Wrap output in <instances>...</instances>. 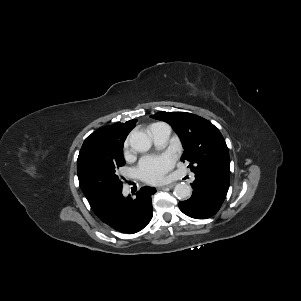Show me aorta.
<instances>
[{"label": "aorta", "mask_w": 301, "mask_h": 301, "mask_svg": "<svg viewBox=\"0 0 301 301\" xmlns=\"http://www.w3.org/2000/svg\"><path fill=\"white\" fill-rule=\"evenodd\" d=\"M130 146L138 152H146L151 148V139L140 131H133L129 138ZM191 187L186 183H178L174 188V195L180 199H188L191 196Z\"/></svg>", "instance_id": "aorta-1"}]
</instances>
